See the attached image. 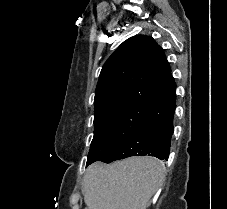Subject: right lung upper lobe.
<instances>
[{
	"instance_id": "1",
	"label": "right lung upper lobe",
	"mask_w": 227,
	"mask_h": 209,
	"mask_svg": "<svg viewBox=\"0 0 227 209\" xmlns=\"http://www.w3.org/2000/svg\"><path fill=\"white\" fill-rule=\"evenodd\" d=\"M169 63L164 50L150 36L138 35L124 41L103 65L95 92V115L105 102L129 98L151 105L176 88L167 76Z\"/></svg>"
}]
</instances>
